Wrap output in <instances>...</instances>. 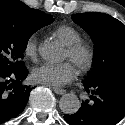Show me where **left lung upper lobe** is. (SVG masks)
I'll return each mask as SVG.
<instances>
[{"mask_svg":"<svg viewBox=\"0 0 125 125\" xmlns=\"http://www.w3.org/2000/svg\"><path fill=\"white\" fill-rule=\"evenodd\" d=\"M72 19L95 44L94 67L84 83H93L105 76L125 75V25L98 12L73 14Z\"/></svg>","mask_w":125,"mask_h":125,"instance_id":"left-lung-upper-lobe-1","label":"left lung upper lobe"}]
</instances>
